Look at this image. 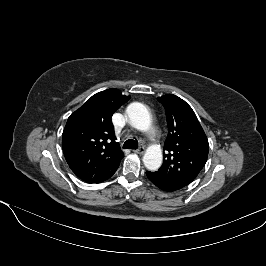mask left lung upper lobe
Masks as SVG:
<instances>
[{"label": "left lung upper lobe", "mask_w": 266, "mask_h": 266, "mask_svg": "<svg viewBox=\"0 0 266 266\" xmlns=\"http://www.w3.org/2000/svg\"><path fill=\"white\" fill-rule=\"evenodd\" d=\"M164 106L169 132L164 161L155 173L179 188L190 184L204 167L208 139L192 108L176 95L158 97Z\"/></svg>", "instance_id": "obj_1"}]
</instances>
